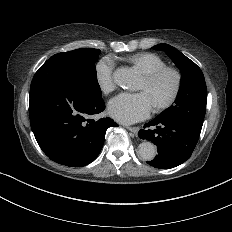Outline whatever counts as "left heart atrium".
Masks as SVG:
<instances>
[{
    "label": "left heart atrium",
    "instance_id": "left-heart-atrium-1",
    "mask_svg": "<svg viewBox=\"0 0 232 232\" xmlns=\"http://www.w3.org/2000/svg\"><path fill=\"white\" fill-rule=\"evenodd\" d=\"M154 110L155 107L145 91L120 94L113 98L107 107L108 114L123 124L144 120Z\"/></svg>",
    "mask_w": 232,
    "mask_h": 232
}]
</instances>
